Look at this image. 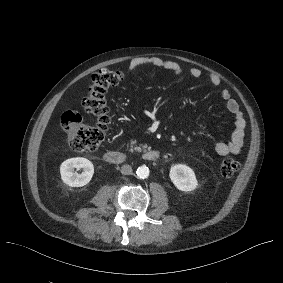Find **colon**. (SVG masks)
I'll use <instances>...</instances> for the list:
<instances>
[{
	"mask_svg": "<svg viewBox=\"0 0 283 283\" xmlns=\"http://www.w3.org/2000/svg\"><path fill=\"white\" fill-rule=\"evenodd\" d=\"M124 74L116 69H102L93 75L88 91L82 100L83 109L96 117V124L86 125L82 116L67 111L61 116V127L70 146L79 152L96 150L104 140L109 124V107L107 91L121 83ZM239 162L233 158H225L219 165L222 177H232L239 170Z\"/></svg>",
	"mask_w": 283,
	"mask_h": 283,
	"instance_id": "obj_1",
	"label": "colon"
}]
</instances>
